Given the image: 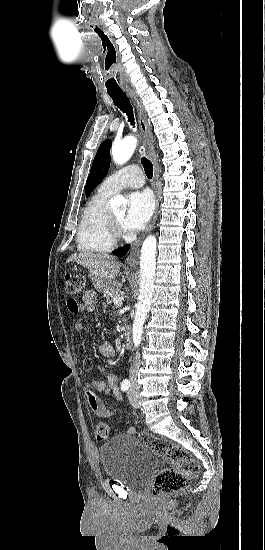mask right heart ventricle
<instances>
[{"mask_svg":"<svg viewBox=\"0 0 265 550\" xmlns=\"http://www.w3.org/2000/svg\"><path fill=\"white\" fill-rule=\"evenodd\" d=\"M112 194L100 186L87 202L76 235V243L80 251L108 252L114 245L108 228V200Z\"/></svg>","mask_w":265,"mask_h":550,"instance_id":"e07e8e85","label":"right heart ventricle"}]
</instances>
